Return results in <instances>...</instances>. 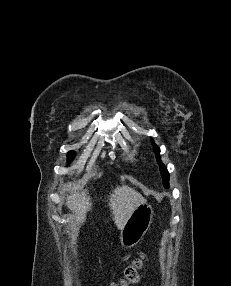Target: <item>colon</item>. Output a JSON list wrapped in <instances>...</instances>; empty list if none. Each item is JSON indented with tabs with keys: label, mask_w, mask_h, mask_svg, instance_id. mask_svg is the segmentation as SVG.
<instances>
[{
	"label": "colon",
	"mask_w": 231,
	"mask_h": 286,
	"mask_svg": "<svg viewBox=\"0 0 231 286\" xmlns=\"http://www.w3.org/2000/svg\"><path fill=\"white\" fill-rule=\"evenodd\" d=\"M145 256L142 254L137 257L130 265H128L123 273V276L110 286H130L138 282L140 272L144 268Z\"/></svg>",
	"instance_id": "5ec220e1"
}]
</instances>
